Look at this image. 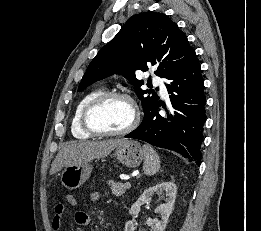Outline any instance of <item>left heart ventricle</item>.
Wrapping results in <instances>:
<instances>
[{
	"mask_svg": "<svg viewBox=\"0 0 261 231\" xmlns=\"http://www.w3.org/2000/svg\"><path fill=\"white\" fill-rule=\"evenodd\" d=\"M133 118V107L123 98H113L91 114L93 125L103 131H120L129 126Z\"/></svg>",
	"mask_w": 261,
	"mask_h": 231,
	"instance_id": "b2bd125f",
	"label": "left heart ventricle"
}]
</instances>
